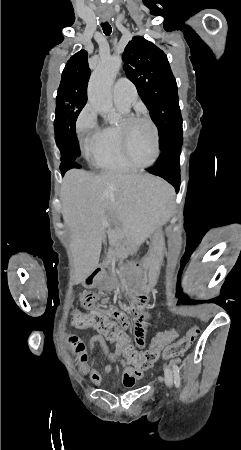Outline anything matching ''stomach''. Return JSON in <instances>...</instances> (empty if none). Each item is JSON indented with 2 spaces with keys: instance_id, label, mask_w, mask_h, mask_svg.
I'll return each mask as SVG.
<instances>
[{
  "instance_id": "stomach-1",
  "label": "stomach",
  "mask_w": 241,
  "mask_h": 450,
  "mask_svg": "<svg viewBox=\"0 0 241 450\" xmlns=\"http://www.w3.org/2000/svg\"><path fill=\"white\" fill-rule=\"evenodd\" d=\"M165 251V241L161 231L155 233L147 255L142 261V275L140 286L142 290H150L154 287L159 275Z\"/></svg>"
}]
</instances>
